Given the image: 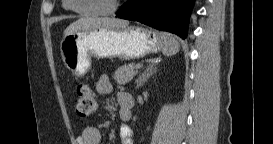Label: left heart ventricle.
I'll return each mask as SVG.
<instances>
[{"label":"left heart ventricle","mask_w":273,"mask_h":144,"mask_svg":"<svg viewBox=\"0 0 273 144\" xmlns=\"http://www.w3.org/2000/svg\"><path fill=\"white\" fill-rule=\"evenodd\" d=\"M114 0H76L75 5L81 10H102L109 7Z\"/></svg>","instance_id":"1"}]
</instances>
